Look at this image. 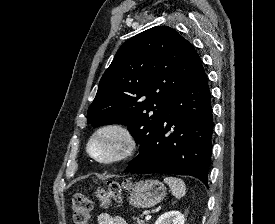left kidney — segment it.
Returning a JSON list of instances; mask_svg holds the SVG:
<instances>
[{
    "label": "left kidney",
    "mask_w": 275,
    "mask_h": 224,
    "mask_svg": "<svg viewBox=\"0 0 275 224\" xmlns=\"http://www.w3.org/2000/svg\"><path fill=\"white\" fill-rule=\"evenodd\" d=\"M184 215L179 211H169L161 215L155 224H184Z\"/></svg>",
    "instance_id": "5707ae66"
}]
</instances>
